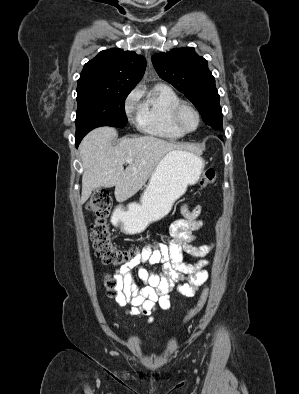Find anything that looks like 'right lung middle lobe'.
<instances>
[{"mask_svg":"<svg viewBox=\"0 0 299 394\" xmlns=\"http://www.w3.org/2000/svg\"><path fill=\"white\" fill-rule=\"evenodd\" d=\"M131 89L77 90L76 133L86 135L100 126L127 125L124 102Z\"/></svg>","mask_w":299,"mask_h":394,"instance_id":"1","label":"right lung middle lobe"}]
</instances>
